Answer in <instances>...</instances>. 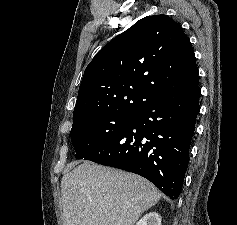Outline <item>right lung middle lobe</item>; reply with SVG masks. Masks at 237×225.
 Wrapping results in <instances>:
<instances>
[{
  "label": "right lung middle lobe",
  "instance_id": "right-lung-middle-lobe-1",
  "mask_svg": "<svg viewBox=\"0 0 237 225\" xmlns=\"http://www.w3.org/2000/svg\"><path fill=\"white\" fill-rule=\"evenodd\" d=\"M136 113H105L73 122L71 141L76 159H83L126 128Z\"/></svg>",
  "mask_w": 237,
  "mask_h": 225
}]
</instances>
